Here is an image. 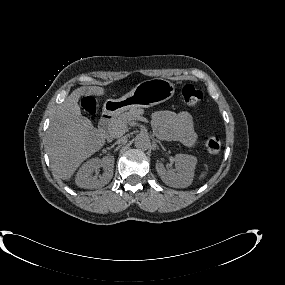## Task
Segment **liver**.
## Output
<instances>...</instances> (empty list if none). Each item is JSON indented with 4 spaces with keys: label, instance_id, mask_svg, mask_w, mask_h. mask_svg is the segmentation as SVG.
<instances>
[{
    "label": "liver",
    "instance_id": "obj_1",
    "mask_svg": "<svg viewBox=\"0 0 285 285\" xmlns=\"http://www.w3.org/2000/svg\"><path fill=\"white\" fill-rule=\"evenodd\" d=\"M84 94L102 96L105 90L99 86L74 90L58 107L47 131L46 150L51 167L66 181L84 160L105 144L104 136L81 114L78 101Z\"/></svg>",
    "mask_w": 285,
    "mask_h": 285
}]
</instances>
